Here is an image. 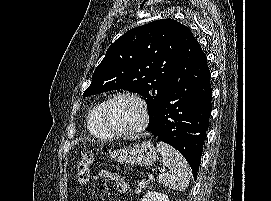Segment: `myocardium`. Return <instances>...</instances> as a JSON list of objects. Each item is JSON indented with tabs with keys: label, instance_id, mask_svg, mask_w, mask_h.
<instances>
[{
	"label": "myocardium",
	"instance_id": "myocardium-1",
	"mask_svg": "<svg viewBox=\"0 0 271 201\" xmlns=\"http://www.w3.org/2000/svg\"><path fill=\"white\" fill-rule=\"evenodd\" d=\"M119 97H128V98L133 99L139 105L141 109V112H142L141 122L136 128L132 130H129V131L118 130L117 128L114 127V125L110 121L109 106L115 99ZM101 117H102V121L105 127L112 134L116 136H120V137H132V136H136L140 134L148 127L149 120H150V113H149V108L146 101L138 93L133 92V91H128V90H122V91H117L113 93L111 96H109L105 100L102 106V110H101Z\"/></svg>",
	"mask_w": 271,
	"mask_h": 201
}]
</instances>
